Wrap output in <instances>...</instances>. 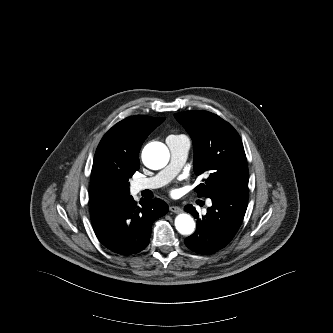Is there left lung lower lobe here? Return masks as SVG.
Segmentation results:
<instances>
[{
  "label": "left lung lower lobe",
  "mask_w": 333,
  "mask_h": 333,
  "mask_svg": "<svg viewBox=\"0 0 333 333\" xmlns=\"http://www.w3.org/2000/svg\"><path fill=\"white\" fill-rule=\"evenodd\" d=\"M213 205L199 217L192 205L185 211L197 219L196 232L185 239L186 246L200 254L224 248L237 233L248 205V188L222 190L209 197Z\"/></svg>",
  "instance_id": "1"
}]
</instances>
